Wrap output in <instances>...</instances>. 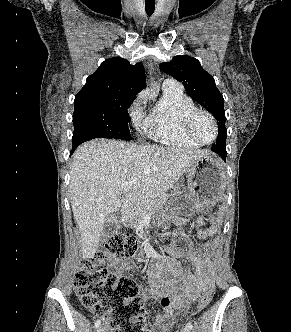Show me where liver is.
<instances>
[{"label": "liver", "instance_id": "liver-1", "mask_svg": "<svg viewBox=\"0 0 291 332\" xmlns=\"http://www.w3.org/2000/svg\"><path fill=\"white\" fill-rule=\"evenodd\" d=\"M207 150L137 145L117 140H91L80 145L70 170V199L81 234L82 257L93 258L106 219L119 211L131 220L146 196L174 188L190 165ZM132 181L123 190L121 185Z\"/></svg>", "mask_w": 291, "mask_h": 332}]
</instances>
